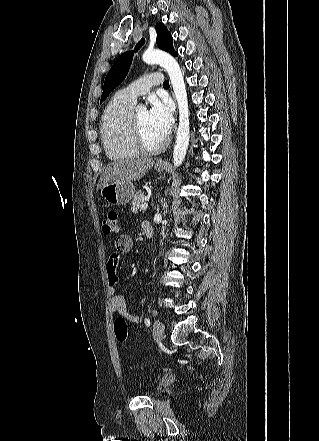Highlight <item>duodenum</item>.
Wrapping results in <instances>:
<instances>
[{
	"mask_svg": "<svg viewBox=\"0 0 319 441\" xmlns=\"http://www.w3.org/2000/svg\"><path fill=\"white\" fill-rule=\"evenodd\" d=\"M143 229H144V234L147 238L152 237L153 233H154V229L153 226L151 225V223L149 222H144L143 223Z\"/></svg>",
	"mask_w": 319,
	"mask_h": 441,
	"instance_id": "obj_1",
	"label": "duodenum"
}]
</instances>
